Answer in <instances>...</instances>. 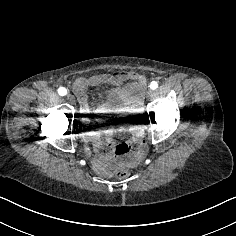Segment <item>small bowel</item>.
Instances as JSON below:
<instances>
[{
  "label": "small bowel",
  "mask_w": 236,
  "mask_h": 236,
  "mask_svg": "<svg viewBox=\"0 0 236 236\" xmlns=\"http://www.w3.org/2000/svg\"><path fill=\"white\" fill-rule=\"evenodd\" d=\"M126 81L133 82L114 88L107 101L97 107L86 95L89 86H96L103 82L120 85ZM144 86L145 78L135 72L94 75L76 81L75 91L80 102V113L87 125L90 124L93 114L98 116L116 114L119 117L117 122L105 130H87L84 133V139L94 146V156L91 157V161L98 173L109 175L117 167L134 166L144 158L146 142L140 120ZM119 134H129L130 141L116 144L113 138ZM133 144L136 146L135 149L132 148Z\"/></svg>",
  "instance_id": "obj_1"
}]
</instances>
